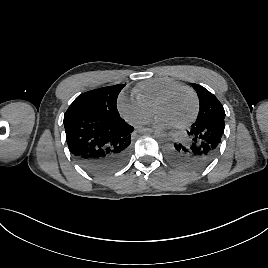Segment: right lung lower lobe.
<instances>
[{
    "mask_svg": "<svg viewBox=\"0 0 268 268\" xmlns=\"http://www.w3.org/2000/svg\"><path fill=\"white\" fill-rule=\"evenodd\" d=\"M63 123L70 153L92 175H108L127 161L134 128L120 116L78 113Z\"/></svg>",
    "mask_w": 268,
    "mask_h": 268,
    "instance_id": "98d812e1",
    "label": "right lung lower lobe"
}]
</instances>
